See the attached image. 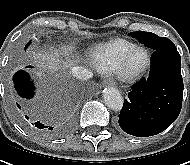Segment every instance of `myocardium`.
Here are the masks:
<instances>
[{
  "mask_svg": "<svg viewBox=\"0 0 190 165\" xmlns=\"http://www.w3.org/2000/svg\"><path fill=\"white\" fill-rule=\"evenodd\" d=\"M139 51H143L146 54L145 64L138 70H131L129 63L133 55ZM151 66V54L145 47L137 46L130 50L122 58L121 63L118 68V75L121 80L131 82L140 79Z\"/></svg>",
  "mask_w": 190,
  "mask_h": 165,
  "instance_id": "obj_1",
  "label": "myocardium"
}]
</instances>
